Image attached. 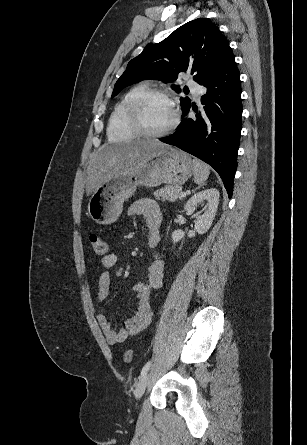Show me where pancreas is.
<instances>
[{
	"instance_id": "cf45deb5",
	"label": "pancreas",
	"mask_w": 307,
	"mask_h": 445,
	"mask_svg": "<svg viewBox=\"0 0 307 445\" xmlns=\"http://www.w3.org/2000/svg\"><path fill=\"white\" fill-rule=\"evenodd\" d=\"M181 188L182 186H172V184H166V186H162V188H159V190H155L154 196H156V198H160L161 196V200H171V202H174V200H177V198H181Z\"/></svg>"
}]
</instances>
